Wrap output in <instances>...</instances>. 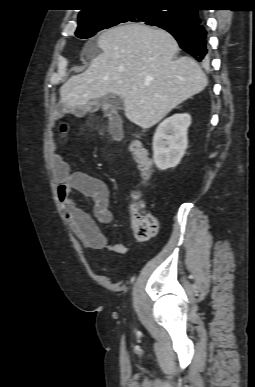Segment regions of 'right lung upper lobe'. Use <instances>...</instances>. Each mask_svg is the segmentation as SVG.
Here are the masks:
<instances>
[{"instance_id": "1", "label": "right lung upper lobe", "mask_w": 255, "mask_h": 387, "mask_svg": "<svg viewBox=\"0 0 255 387\" xmlns=\"http://www.w3.org/2000/svg\"><path fill=\"white\" fill-rule=\"evenodd\" d=\"M196 0H84L79 19L116 7L172 5L178 8L194 4Z\"/></svg>"}]
</instances>
